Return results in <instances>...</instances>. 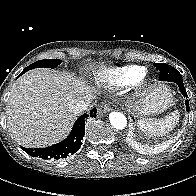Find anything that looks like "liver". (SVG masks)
I'll list each match as a JSON object with an SVG mask.
<instances>
[{"label":"liver","mask_w":196,"mask_h":196,"mask_svg":"<svg viewBox=\"0 0 196 196\" xmlns=\"http://www.w3.org/2000/svg\"><path fill=\"white\" fill-rule=\"evenodd\" d=\"M76 99H93V89L67 73L47 68L23 74L7 102L8 130L24 147H46L62 140L77 114Z\"/></svg>","instance_id":"obj_1"}]
</instances>
